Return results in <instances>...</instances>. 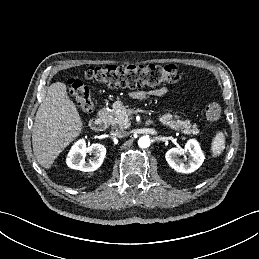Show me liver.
<instances>
[{"instance_id": "obj_1", "label": "liver", "mask_w": 259, "mask_h": 259, "mask_svg": "<svg viewBox=\"0 0 259 259\" xmlns=\"http://www.w3.org/2000/svg\"><path fill=\"white\" fill-rule=\"evenodd\" d=\"M83 122L66 85L52 83L40 104L32 130L33 152L38 163L49 169L58 155L81 133Z\"/></svg>"}]
</instances>
